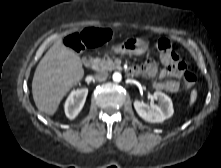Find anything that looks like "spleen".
Wrapping results in <instances>:
<instances>
[{
  "instance_id": "obj_1",
  "label": "spleen",
  "mask_w": 221,
  "mask_h": 168,
  "mask_svg": "<svg viewBox=\"0 0 221 168\" xmlns=\"http://www.w3.org/2000/svg\"><path fill=\"white\" fill-rule=\"evenodd\" d=\"M196 98V92L194 91L193 93H192V100H194Z\"/></svg>"
}]
</instances>
